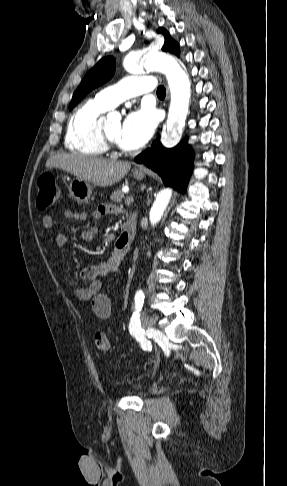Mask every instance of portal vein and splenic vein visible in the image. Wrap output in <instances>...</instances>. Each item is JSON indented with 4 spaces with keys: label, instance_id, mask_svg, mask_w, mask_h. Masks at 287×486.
<instances>
[{
    "label": "portal vein and splenic vein",
    "instance_id": "18ae733b",
    "mask_svg": "<svg viewBox=\"0 0 287 486\" xmlns=\"http://www.w3.org/2000/svg\"><path fill=\"white\" fill-rule=\"evenodd\" d=\"M133 202H134V198H133V196H128V197H126V199H125V203H126V204H128V205H129V204H131V203H133Z\"/></svg>",
    "mask_w": 287,
    "mask_h": 486
}]
</instances>
